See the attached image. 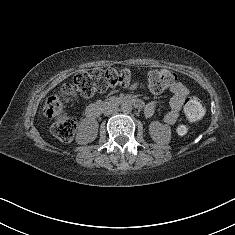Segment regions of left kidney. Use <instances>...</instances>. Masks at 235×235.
<instances>
[{"label": "left kidney", "instance_id": "obj_1", "mask_svg": "<svg viewBox=\"0 0 235 235\" xmlns=\"http://www.w3.org/2000/svg\"><path fill=\"white\" fill-rule=\"evenodd\" d=\"M149 133L155 142L168 144L171 140V128L159 121H152L149 125Z\"/></svg>", "mask_w": 235, "mask_h": 235}]
</instances>
